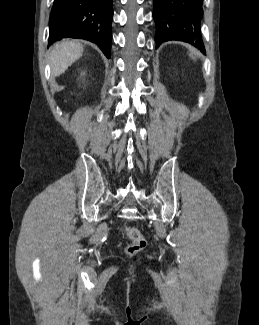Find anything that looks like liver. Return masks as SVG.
Segmentation results:
<instances>
[{"instance_id": "liver-1", "label": "liver", "mask_w": 259, "mask_h": 325, "mask_svg": "<svg viewBox=\"0 0 259 325\" xmlns=\"http://www.w3.org/2000/svg\"><path fill=\"white\" fill-rule=\"evenodd\" d=\"M83 54V45L76 41H61L54 44L50 56L53 76L64 73Z\"/></svg>"}]
</instances>
